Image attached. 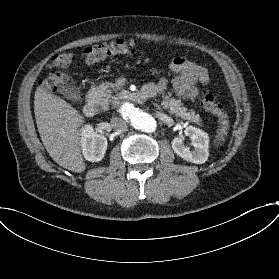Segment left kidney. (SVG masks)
Segmentation results:
<instances>
[{
	"label": "left kidney",
	"instance_id": "1",
	"mask_svg": "<svg viewBox=\"0 0 279 279\" xmlns=\"http://www.w3.org/2000/svg\"><path fill=\"white\" fill-rule=\"evenodd\" d=\"M185 137L190 138L191 145L194 150L184 146ZM173 151L184 160L194 164H204L208 158L209 139L208 136L201 130L187 126L184 130V135L174 137L171 142Z\"/></svg>",
	"mask_w": 279,
	"mask_h": 279
}]
</instances>
